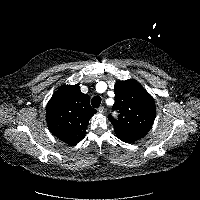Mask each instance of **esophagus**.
I'll return each instance as SVG.
<instances>
[{"label": "esophagus", "instance_id": "34e87169", "mask_svg": "<svg viewBox=\"0 0 200 200\" xmlns=\"http://www.w3.org/2000/svg\"><path fill=\"white\" fill-rule=\"evenodd\" d=\"M104 111H105V108L103 106H101V107L98 108V112L104 113Z\"/></svg>", "mask_w": 200, "mask_h": 200}]
</instances>
